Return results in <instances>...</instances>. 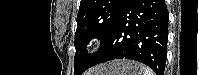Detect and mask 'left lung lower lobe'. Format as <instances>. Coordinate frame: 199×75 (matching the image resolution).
Here are the masks:
<instances>
[{"label": "left lung lower lobe", "instance_id": "left-lung-lower-lobe-1", "mask_svg": "<svg viewBox=\"0 0 199 75\" xmlns=\"http://www.w3.org/2000/svg\"><path fill=\"white\" fill-rule=\"evenodd\" d=\"M167 42L165 1L127 0L91 66L114 59H130L146 64L157 75H164Z\"/></svg>", "mask_w": 199, "mask_h": 75}]
</instances>
